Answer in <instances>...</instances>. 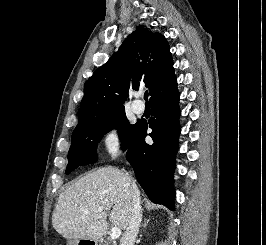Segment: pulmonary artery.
Instances as JSON below:
<instances>
[{"label":"pulmonary artery","instance_id":"obj_1","mask_svg":"<svg viewBox=\"0 0 266 245\" xmlns=\"http://www.w3.org/2000/svg\"><path fill=\"white\" fill-rule=\"evenodd\" d=\"M141 94L137 95L136 100L132 103V110L136 114H142L145 109V105L139 100Z\"/></svg>","mask_w":266,"mask_h":245}]
</instances>
